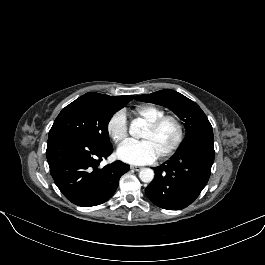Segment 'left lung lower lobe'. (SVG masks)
Listing matches in <instances>:
<instances>
[{"label": "left lung lower lobe", "instance_id": "obj_1", "mask_svg": "<svg viewBox=\"0 0 265 265\" xmlns=\"http://www.w3.org/2000/svg\"><path fill=\"white\" fill-rule=\"evenodd\" d=\"M212 128L186 138L177 151L162 165L155 167V178L145 189L148 198L167 210L186 208L206 186L214 162Z\"/></svg>", "mask_w": 265, "mask_h": 265}]
</instances>
